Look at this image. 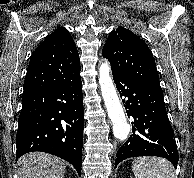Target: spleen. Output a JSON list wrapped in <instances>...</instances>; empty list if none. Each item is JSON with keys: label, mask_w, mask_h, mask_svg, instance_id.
Here are the masks:
<instances>
[{"label": "spleen", "mask_w": 194, "mask_h": 178, "mask_svg": "<svg viewBox=\"0 0 194 178\" xmlns=\"http://www.w3.org/2000/svg\"><path fill=\"white\" fill-rule=\"evenodd\" d=\"M135 178H175L173 165L159 157H138L132 162Z\"/></svg>", "instance_id": "spleen-1"}]
</instances>
